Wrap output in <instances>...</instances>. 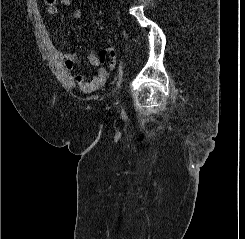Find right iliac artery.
<instances>
[{"label": "right iliac artery", "mask_w": 245, "mask_h": 239, "mask_svg": "<svg viewBox=\"0 0 245 239\" xmlns=\"http://www.w3.org/2000/svg\"><path fill=\"white\" fill-rule=\"evenodd\" d=\"M122 75H123V64L121 62L120 65H119V68H118V82H117L118 93H119V89H120L121 82H122ZM116 104H119V100L118 99H117V103Z\"/></svg>", "instance_id": "1"}]
</instances>
